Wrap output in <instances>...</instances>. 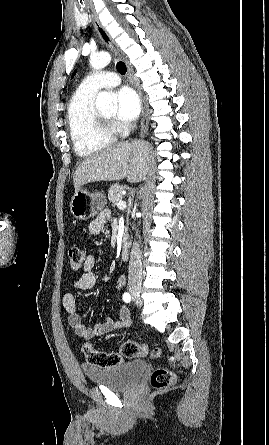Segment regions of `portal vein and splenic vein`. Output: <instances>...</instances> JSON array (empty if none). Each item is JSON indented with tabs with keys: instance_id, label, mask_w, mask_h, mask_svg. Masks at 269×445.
<instances>
[{
	"instance_id": "18ae733b",
	"label": "portal vein and splenic vein",
	"mask_w": 269,
	"mask_h": 445,
	"mask_svg": "<svg viewBox=\"0 0 269 445\" xmlns=\"http://www.w3.org/2000/svg\"><path fill=\"white\" fill-rule=\"evenodd\" d=\"M117 207H118L119 209H124V208H126V202H124V201H119V202L117 203Z\"/></svg>"
}]
</instances>
